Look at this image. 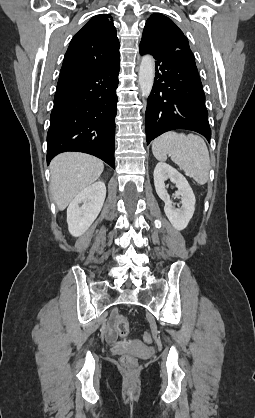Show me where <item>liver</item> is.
<instances>
[{
	"label": "liver",
	"mask_w": 255,
	"mask_h": 418,
	"mask_svg": "<svg viewBox=\"0 0 255 418\" xmlns=\"http://www.w3.org/2000/svg\"><path fill=\"white\" fill-rule=\"evenodd\" d=\"M104 170L103 162L85 153L68 152L50 164L51 193L59 210H64L76 195L94 183Z\"/></svg>",
	"instance_id": "liver-1"
}]
</instances>
